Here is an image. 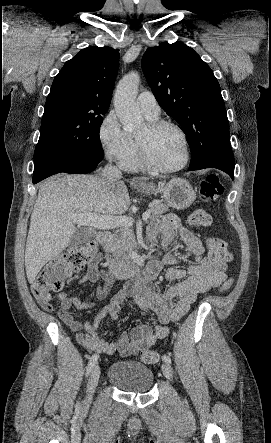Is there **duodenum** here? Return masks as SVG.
<instances>
[{"mask_svg":"<svg viewBox=\"0 0 271 443\" xmlns=\"http://www.w3.org/2000/svg\"><path fill=\"white\" fill-rule=\"evenodd\" d=\"M111 237V234L106 231L98 232L96 235L97 241L105 246L110 243ZM107 268L110 273L119 278L132 277L140 273L139 264L131 259L110 260L107 263Z\"/></svg>","mask_w":271,"mask_h":443,"instance_id":"410a0bca","label":"duodenum"}]
</instances>
